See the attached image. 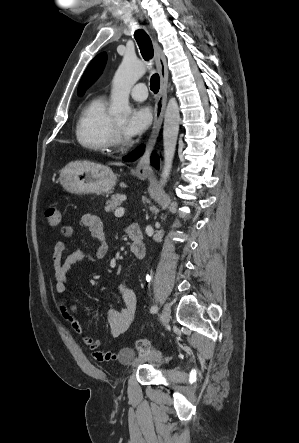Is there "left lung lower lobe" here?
I'll list each match as a JSON object with an SVG mask.
<instances>
[{
    "mask_svg": "<svg viewBox=\"0 0 299 443\" xmlns=\"http://www.w3.org/2000/svg\"><path fill=\"white\" fill-rule=\"evenodd\" d=\"M144 146L141 145L138 148H136L134 151L123 157L124 161L132 162L135 161L138 157H140L143 154ZM151 162L152 165H154L156 168L159 167V157L153 153L151 156Z\"/></svg>",
    "mask_w": 299,
    "mask_h": 443,
    "instance_id": "1",
    "label": "left lung lower lobe"
}]
</instances>
